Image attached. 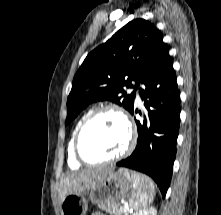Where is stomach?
<instances>
[{
    "label": "stomach",
    "mask_w": 221,
    "mask_h": 215,
    "mask_svg": "<svg viewBox=\"0 0 221 215\" xmlns=\"http://www.w3.org/2000/svg\"><path fill=\"white\" fill-rule=\"evenodd\" d=\"M135 177L142 178L144 175L126 169L111 171L89 191L67 195L61 203V215H85L89 201L99 207L118 203L133 190Z\"/></svg>",
    "instance_id": "stomach-1"
}]
</instances>
